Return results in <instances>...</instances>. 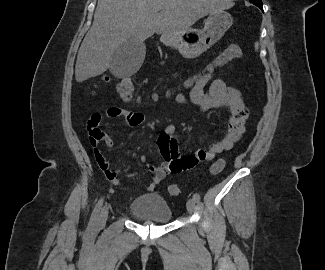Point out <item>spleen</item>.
<instances>
[{
  "instance_id": "spleen-1",
  "label": "spleen",
  "mask_w": 325,
  "mask_h": 270,
  "mask_svg": "<svg viewBox=\"0 0 325 270\" xmlns=\"http://www.w3.org/2000/svg\"><path fill=\"white\" fill-rule=\"evenodd\" d=\"M259 44L258 42L255 43V50H258Z\"/></svg>"
}]
</instances>
